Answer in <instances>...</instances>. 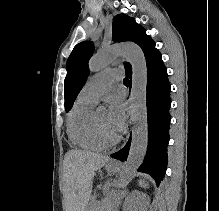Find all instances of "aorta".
I'll list each match as a JSON object with an SVG mask.
<instances>
[{
    "label": "aorta",
    "mask_w": 219,
    "mask_h": 211,
    "mask_svg": "<svg viewBox=\"0 0 219 211\" xmlns=\"http://www.w3.org/2000/svg\"><path fill=\"white\" fill-rule=\"evenodd\" d=\"M118 55L125 57L132 66L130 114L133 121V130L129 155L117 180V186L122 187L128 183L142 164L148 147L146 59L138 45L124 43L97 52L89 61V69L90 72H98L107 67Z\"/></svg>",
    "instance_id": "aorta-1"
}]
</instances>
